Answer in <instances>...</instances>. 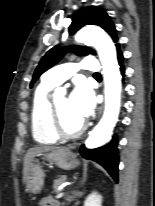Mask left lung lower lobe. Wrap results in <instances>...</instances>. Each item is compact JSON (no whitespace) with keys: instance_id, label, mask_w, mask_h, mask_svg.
<instances>
[{"instance_id":"obj_1","label":"left lung lower lobe","mask_w":155,"mask_h":206,"mask_svg":"<svg viewBox=\"0 0 155 206\" xmlns=\"http://www.w3.org/2000/svg\"><path fill=\"white\" fill-rule=\"evenodd\" d=\"M117 47L118 62L122 76H124L125 69L123 67V55L120 51L119 45ZM81 155L86 159L94 160L101 164L109 174L118 182V152H117V138L113 137L112 141L96 149H86L84 145L80 148Z\"/></svg>"}]
</instances>
